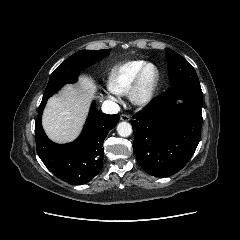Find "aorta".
Wrapping results in <instances>:
<instances>
[{"label":"aorta","instance_id":"1","mask_svg":"<svg viewBox=\"0 0 240 240\" xmlns=\"http://www.w3.org/2000/svg\"><path fill=\"white\" fill-rule=\"evenodd\" d=\"M117 132L121 137H128L132 134V126L128 122H120L117 125Z\"/></svg>","mask_w":240,"mask_h":240}]
</instances>
